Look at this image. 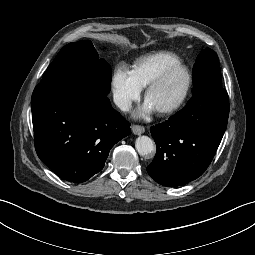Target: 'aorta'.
I'll return each mask as SVG.
<instances>
[{
  "mask_svg": "<svg viewBox=\"0 0 255 255\" xmlns=\"http://www.w3.org/2000/svg\"><path fill=\"white\" fill-rule=\"evenodd\" d=\"M135 147L141 156H147L155 152V144L148 136H139L136 139Z\"/></svg>",
  "mask_w": 255,
  "mask_h": 255,
  "instance_id": "1",
  "label": "aorta"
}]
</instances>
